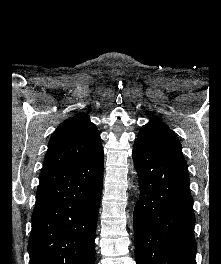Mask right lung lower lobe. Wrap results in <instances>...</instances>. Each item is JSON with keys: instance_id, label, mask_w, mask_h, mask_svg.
Returning <instances> with one entry per match:
<instances>
[{"instance_id": "98d812e1", "label": "right lung lower lobe", "mask_w": 221, "mask_h": 264, "mask_svg": "<svg viewBox=\"0 0 221 264\" xmlns=\"http://www.w3.org/2000/svg\"><path fill=\"white\" fill-rule=\"evenodd\" d=\"M104 153L39 176L30 264H95V232L103 186Z\"/></svg>"}]
</instances>
